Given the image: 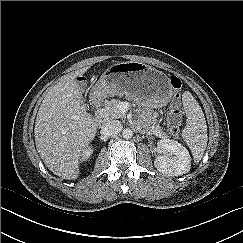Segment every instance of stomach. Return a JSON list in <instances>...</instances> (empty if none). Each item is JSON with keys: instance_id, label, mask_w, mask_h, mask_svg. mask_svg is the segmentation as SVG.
Wrapping results in <instances>:
<instances>
[{"instance_id": "1", "label": "stomach", "mask_w": 243, "mask_h": 243, "mask_svg": "<svg viewBox=\"0 0 243 243\" xmlns=\"http://www.w3.org/2000/svg\"><path fill=\"white\" fill-rule=\"evenodd\" d=\"M94 93L99 97L125 96L137 103L160 108L172 96L166 74L139 61L111 64L101 75Z\"/></svg>"}]
</instances>
